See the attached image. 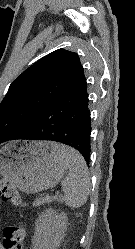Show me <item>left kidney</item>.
Segmentation results:
<instances>
[{
	"label": "left kidney",
	"mask_w": 135,
	"mask_h": 249,
	"mask_svg": "<svg viewBox=\"0 0 135 249\" xmlns=\"http://www.w3.org/2000/svg\"><path fill=\"white\" fill-rule=\"evenodd\" d=\"M67 224L65 213L52 208L44 210L35 223L33 249H57L65 236Z\"/></svg>",
	"instance_id": "5707ae66"
}]
</instances>
